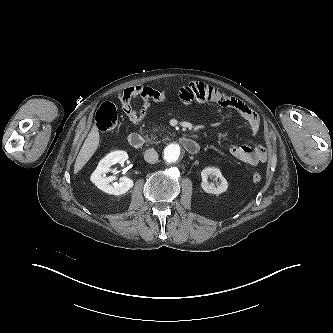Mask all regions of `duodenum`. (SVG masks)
Segmentation results:
<instances>
[{"mask_svg":"<svg viewBox=\"0 0 333 333\" xmlns=\"http://www.w3.org/2000/svg\"><path fill=\"white\" fill-rule=\"evenodd\" d=\"M179 142L189 154H196L200 149L199 144L192 138L182 136ZM128 143L131 147L139 149L144 145V138L138 133H131L128 136Z\"/></svg>","mask_w":333,"mask_h":333,"instance_id":"obj_1","label":"duodenum"}]
</instances>
